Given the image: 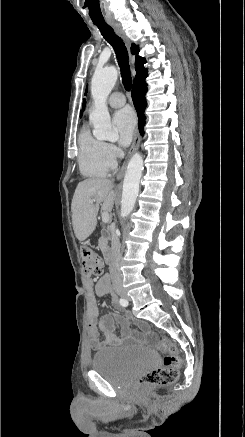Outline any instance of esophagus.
Masks as SVG:
<instances>
[{
  "label": "esophagus",
  "instance_id": "esophagus-1",
  "mask_svg": "<svg viewBox=\"0 0 245 437\" xmlns=\"http://www.w3.org/2000/svg\"><path fill=\"white\" fill-rule=\"evenodd\" d=\"M110 25L123 38V40L126 42V44H128V40H127L125 34L120 29V27L118 26V24H116L114 22H110ZM131 61L133 62V57H131ZM140 141H141V136H140L139 130L137 128L135 130V133H134V138H133V142H132L131 148H130V150L128 152V155H127V157H126V159H125V161H124V163H123V165H122V167H121V169H120V171H119V173L117 175V179H122V177L124 175V172L126 170V167H127L128 160L131 157V155L138 150V148L140 146Z\"/></svg>",
  "mask_w": 245,
  "mask_h": 437
}]
</instances>
